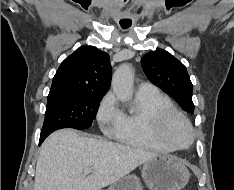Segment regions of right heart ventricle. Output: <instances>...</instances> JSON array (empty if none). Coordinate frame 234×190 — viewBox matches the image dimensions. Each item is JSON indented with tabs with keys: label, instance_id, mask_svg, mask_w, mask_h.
<instances>
[{
	"label": "right heart ventricle",
	"instance_id": "1",
	"mask_svg": "<svg viewBox=\"0 0 234 190\" xmlns=\"http://www.w3.org/2000/svg\"><path fill=\"white\" fill-rule=\"evenodd\" d=\"M173 107L171 100L155 90L150 93H137L135 108L129 112L121 111V120L116 138L131 147L170 152L171 147L163 143L155 132L156 114L163 108Z\"/></svg>",
	"mask_w": 234,
	"mask_h": 190
}]
</instances>
